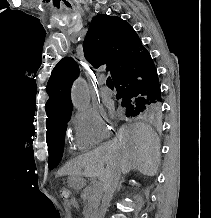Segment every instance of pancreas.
<instances>
[{
  "label": "pancreas",
  "instance_id": "cf45deb5",
  "mask_svg": "<svg viewBox=\"0 0 211 218\" xmlns=\"http://www.w3.org/2000/svg\"><path fill=\"white\" fill-rule=\"evenodd\" d=\"M102 197V188H97V186H87V190H84L83 199L86 200L85 204L89 205V214H86L87 218L89 216H94V212L98 210V206L100 204V198ZM94 210V212H92Z\"/></svg>",
  "mask_w": 211,
  "mask_h": 218
}]
</instances>
